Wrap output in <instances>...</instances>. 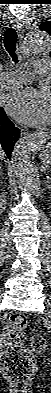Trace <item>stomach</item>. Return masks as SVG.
I'll use <instances>...</instances> for the list:
<instances>
[{
  "label": "stomach",
  "instance_id": "0dacf381",
  "mask_svg": "<svg viewBox=\"0 0 51 393\" xmlns=\"http://www.w3.org/2000/svg\"><path fill=\"white\" fill-rule=\"evenodd\" d=\"M40 159L43 162L51 163V148L47 146V148L43 149L40 153Z\"/></svg>",
  "mask_w": 51,
  "mask_h": 393
}]
</instances>
